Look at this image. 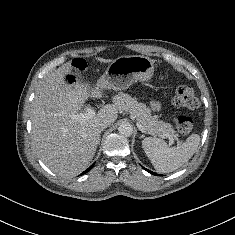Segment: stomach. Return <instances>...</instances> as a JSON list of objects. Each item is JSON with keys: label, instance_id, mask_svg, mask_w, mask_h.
Instances as JSON below:
<instances>
[{"label": "stomach", "instance_id": "0dacf381", "mask_svg": "<svg viewBox=\"0 0 235 235\" xmlns=\"http://www.w3.org/2000/svg\"><path fill=\"white\" fill-rule=\"evenodd\" d=\"M154 73V63L146 56H120L113 60L99 78L96 87L121 91L128 89L135 80L149 81Z\"/></svg>", "mask_w": 235, "mask_h": 235}]
</instances>
